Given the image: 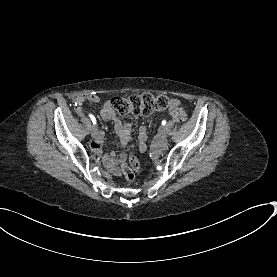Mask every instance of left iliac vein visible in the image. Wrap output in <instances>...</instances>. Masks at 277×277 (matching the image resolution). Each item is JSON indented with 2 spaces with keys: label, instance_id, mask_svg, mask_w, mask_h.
<instances>
[{
  "label": "left iliac vein",
  "instance_id": "1",
  "mask_svg": "<svg viewBox=\"0 0 277 277\" xmlns=\"http://www.w3.org/2000/svg\"><path fill=\"white\" fill-rule=\"evenodd\" d=\"M160 135L162 138H165L167 136V129L166 128H161Z\"/></svg>",
  "mask_w": 277,
  "mask_h": 277
}]
</instances>
